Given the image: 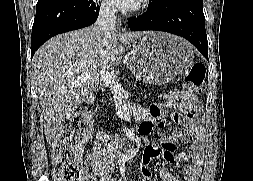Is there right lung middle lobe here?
I'll return each instance as SVG.
<instances>
[{"instance_id": "obj_1", "label": "right lung middle lobe", "mask_w": 253, "mask_h": 181, "mask_svg": "<svg viewBox=\"0 0 253 181\" xmlns=\"http://www.w3.org/2000/svg\"><path fill=\"white\" fill-rule=\"evenodd\" d=\"M42 1H45V0H38V3H39V2H42Z\"/></svg>"}]
</instances>
